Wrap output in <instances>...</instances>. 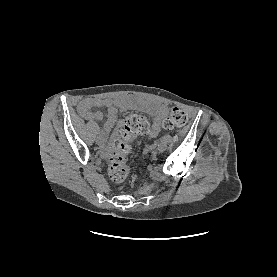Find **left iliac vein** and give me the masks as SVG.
<instances>
[{"label": "left iliac vein", "instance_id": "4c4485c4", "mask_svg": "<svg viewBox=\"0 0 277 277\" xmlns=\"http://www.w3.org/2000/svg\"><path fill=\"white\" fill-rule=\"evenodd\" d=\"M166 144L165 143H159L158 146H157V151L162 153L166 150Z\"/></svg>", "mask_w": 277, "mask_h": 277}]
</instances>
